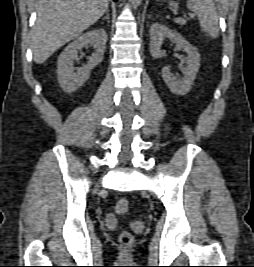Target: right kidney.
I'll list each match as a JSON object with an SVG mask.
<instances>
[{"label":"right kidney","instance_id":"1","mask_svg":"<svg viewBox=\"0 0 254 267\" xmlns=\"http://www.w3.org/2000/svg\"><path fill=\"white\" fill-rule=\"evenodd\" d=\"M107 41L103 28H96L78 36L60 54L57 61V77L61 88L68 93L76 91L89 78L91 70L102 62ZM93 46L95 52L88 58V63L81 68L73 67L78 52L87 46Z\"/></svg>","mask_w":254,"mask_h":267}]
</instances>
